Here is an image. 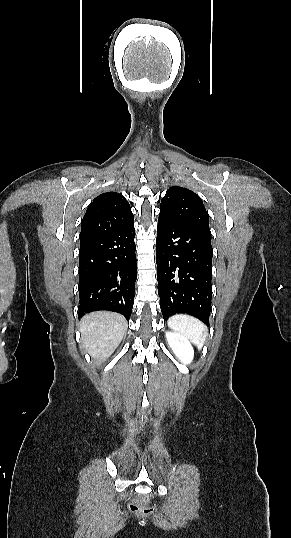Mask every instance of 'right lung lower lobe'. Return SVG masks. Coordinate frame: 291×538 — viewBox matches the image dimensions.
Masks as SVG:
<instances>
[{
  "label": "right lung lower lobe",
  "instance_id": "1",
  "mask_svg": "<svg viewBox=\"0 0 291 538\" xmlns=\"http://www.w3.org/2000/svg\"><path fill=\"white\" fill-rule=\"evenodd\" d=\"M134 222L113 233L81 242L79 317L108 310L130 318L136 281Z\"/></svg>",
  "mask_w": 291,
  "mask_h": 538
}]
</instances>
